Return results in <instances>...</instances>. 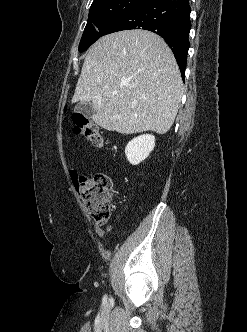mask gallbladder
<instances>
[{"label": "gallbladder", "instance_id": "gallbladder-1", "mask_svg": "<svg viewBox=\"0 0 247 332\" xmlns=\"http://www.w3.org/2000/svg\"><path fill=\"white\" fill-rule=\"evenodd\" d=\"M74 112L81 113L87 118H91L94 114V108L91 104H78L74 108Z\"/></svg>", "mask_w": 247, "mask_h": 332}]
</instances>
